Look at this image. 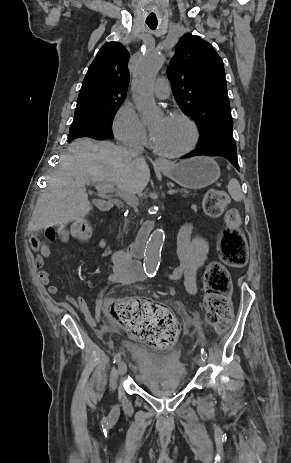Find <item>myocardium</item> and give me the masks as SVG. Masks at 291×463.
Segmentation results:
<instances>
[{
	"label": "myocardium",
	"mask_w": 291,
	"mask_h": 463,
	"mask_svg": "<svg viewBox=\"0 0 291 463\" xmlns=\"http://www.w3.org/2000/svg\"><path fill=\"white\" fill-rule=\"evenodd\" d=\"M171 117L176 118V119L184 122L190 129L191 137H190V140H189L188 144L184 148H182L180 150H177V151H174V152H164V151L159 150L155 145H153L154 151L158 155H160V156H162L164 158L182 157V156L190 153L196 147V145H197V143L199 141V129H198V126H197L196 122L190 116H188L184 112L175 111V112L172 113Z\"/></svg>",
	"instance_id": "myocardium-1"
}]
</instances>
